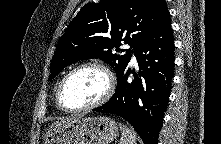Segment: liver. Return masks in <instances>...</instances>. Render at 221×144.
<instances>
[{"label":"liver","mask_w":221,"mask_h":144,"mask_svg":"<svg viewBox=\"0 0 221 144\" xmlns=\"http://www.w3.org/2000/svg\"><path fill=\"white\" fill-rule=\"evenodd\" d=\"M80 117L76 116V117H72V118H67V119H63L60 121H56L54 122L48 129V131L44 134V138L52 135L54 132L62 129L63 127H66L67 125H69L70 123L76 121L77 119H79Z\"/></svg>","instance_id":"1"}]
</instances>
